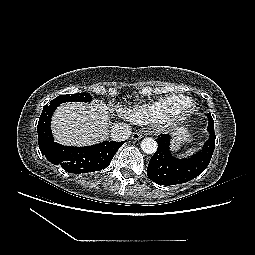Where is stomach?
<instances>
[{"mask_svg":"<svg viewBox=\"0 0 255 255\" xmlns=\"http://www.w3.org/2000/svg\"><path fill=\"white\" fill-rule=\"evenodd\" d=\"M172 149L178 150L182 145H185L192 140V136L188 129L185 127H179L172 133Z\"/></svg>","mask_w":255,"mask_h":255,"instance_id":"1","label":"stomach"}]
</instances>
